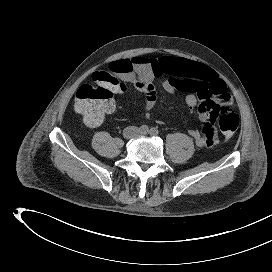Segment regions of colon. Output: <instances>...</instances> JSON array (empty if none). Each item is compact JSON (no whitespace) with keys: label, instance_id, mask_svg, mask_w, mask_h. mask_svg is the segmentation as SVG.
<instances>
[{"label":"colon","instance_id":"colon-1","mask_svg":"<svg viewBox=\"0 0 272 272\" xmlns=\"http://www.w3.org/2000/svg\"><path fill=\"white\" fill-rule=\"evenodd\" d=\"M114 71H97L93 74L94 85H82L76 92L74 109L83 121L97 127L113 104L115 93L125 90V85L115 76ZM218 122L220 130L226 139H230L239 126V116L228 107H220L212 111L209 109V121L213 125Z\"/></svg>","mask_w":272,"mask_h":272}]
</instances>
